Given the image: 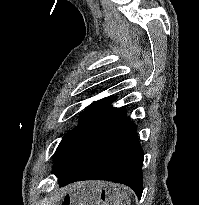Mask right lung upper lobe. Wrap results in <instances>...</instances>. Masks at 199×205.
Here are the masks:
<instances>
[{"instance_id": "cb5924a9", "label": "right lung upper lobe", "mask_w": 199, "mask_h": 205, "mask_svg": "<svg viewBox=\"0 0 199 205\" xmlns=\"http://www.w3.org/2000/svg\"><path fill=\"white\" fill-rule=\"evenodd\" d=\"M117 99V96H109L101 100L93 102L91 105L85 108V111L95 112L103 114L109 117L122 119L124 121L129 120L126 116V110L122 108H114L111 104Z\"/></svg>"}]
</instances>
